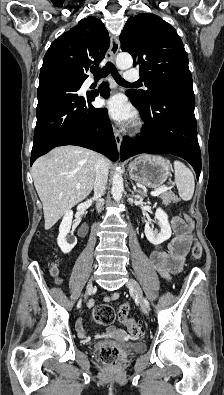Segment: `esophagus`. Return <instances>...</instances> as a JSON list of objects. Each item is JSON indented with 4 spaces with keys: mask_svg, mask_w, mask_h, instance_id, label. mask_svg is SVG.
<instances>
[{
    "mask_svg": "<svg viewBox=\"0 0 224 395\" xmlns=\"http://www.w3.org/2000/svg\"><path fill=\"white\" fill-rule=\"evenodd\" d=\"M119 49H120L119 38L115 35H111L109 53H110L112 62H114ZM113 131H114V136H115V141H116L117 147H118V149H120L121 144H122V136H121L120 132L114 126H113Z\"/></svg>",
    "mask_w": 224,
    "mask_h": 395,
    "instance_id": "34e87169",
    "label": "esophagus"
}]
</instances>
